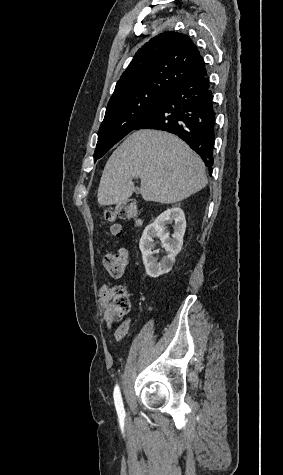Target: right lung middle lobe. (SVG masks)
I'll use <instances>...</instances> for the list:
<instances>
[{"label":"right lung middle lobe","mask_w":283,"mask_h":475,"mask_svg":"<svg viewBox=\"0 0 283 475\" xmlns=\"http://www.w3.org/2000/svg\"><path fill=\"white\" fill-rule=\"evenodd\" d=\"M170 91H154L124 101L108 104L105 118L99 128L94 162L119 142L157 105Z\"/></svg>","instance_id":"1"}]
</instances>
